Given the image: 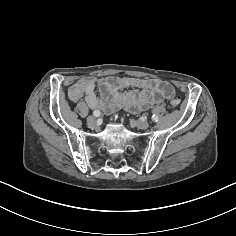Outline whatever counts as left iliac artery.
Instances as JSON below:
<instances>
[{
  "mask_svg": "<svg viewBox=\"0 0 236 236\" xmlns=\"http://www.w3.org/2000/svg\"><path fill=\"white\" fill-rule=\"evenodd\" d=\"M151 118H152V121H154V122H157L159 119L158 116L155 114H153Z\"/></svg>",
  "mask_w": 236,
  "mask_h": 236,
  "instance_id": "obj_1",
  "label": "left iliac artery"
}]
</instances>
